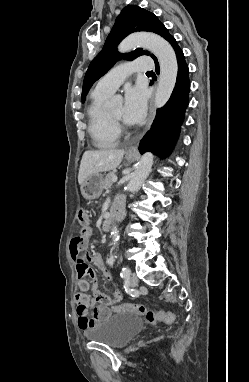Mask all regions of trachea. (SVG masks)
<instances>
[{
  "mask_svg": "<svg viewBox=\"0 0 249 382\" xmlns=\"http://www.w3.org/2000/svg\"><path fill=\"white\" fill-rule=\"evenodd\" d=\"M147 74H153V71H148Z\"/></svg>",
  "mask_w": 249,
  "mask_h": 382,
  "instance_id": "1",
  "label": "trachea"
}]
</instances>
